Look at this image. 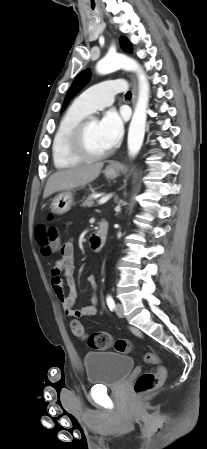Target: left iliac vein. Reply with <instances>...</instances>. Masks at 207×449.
Wrapping results in <instances>:
<instances>
[{
  "instance_id": "left-iliac-vein-1",
  "label": "left iliac vein",
  "mask_w": 207,
  "mask_h": 449,
  "mask_svg": "<svg viewBox=\"0 0 207 449\" xmlns=\"http://www.w3.org/2000/svg\"><path fill=\"white\" fill-rule=\"evenodd\" d=\"M116 314H117V316H119L121 318L124 317V308H123V305L120 303H118L116 305Z\"/></svg>"
}]
</instances>
